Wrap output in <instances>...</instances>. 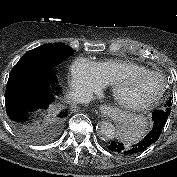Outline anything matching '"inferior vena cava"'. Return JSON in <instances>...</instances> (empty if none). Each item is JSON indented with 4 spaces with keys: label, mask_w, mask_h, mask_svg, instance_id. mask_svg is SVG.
Instances as JSON below:
<instances>
[{
    "label": "inferior vena cava",
    "mask_w": 177,
    "mask_h": 177,
    "mask_svg": "<svg viewBox=\"0 0 177 177\" xmlns=\"http://www.w3.org/2000/svg\"><path fill=\"white\" fill-rule=\"evenodd\" d=\"M68 98L75 103L87 104L92 100L93 95L87 91L79 90L70 92Z\"/></svg>",
    "instance_id": "602c4592"
}]
</instances>
